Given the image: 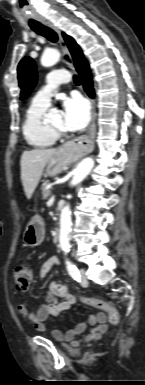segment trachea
Segmentation results:
<instances>
[{"instance_id":"3493384b","label":"trachea","mask_w":145,"mask_h":385,"mask_svg":"<svg viewBox=\"0 0 145 385\" xmlns=\"http://www.w3.org/2000/svg\"><path fill=\"white\" fill-rule=\"evenodd\" d=\"M30 27L34 32L42 35L43 37H45L49 41H51L53 43H56L58 41L57 33L55 31H53L51 28H49L45 25H42V24L32 25ZM73 80H74V83L76 85L81 84V79L79 78V76L74 75Z\"/></svg>"}]
</instances>
